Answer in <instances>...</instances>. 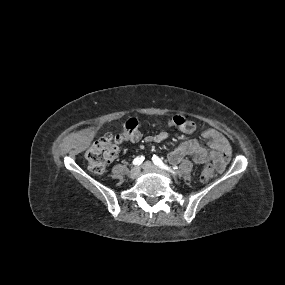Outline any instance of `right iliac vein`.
Here are the masks:
<instances>
[{
    "instance_id": "obj_1",
    "label": "right iliac vein",
    "mask_w": 285,
    "mask_h": 285,
    "mask_svg": "<svg viewBox=\"0 0 285 285\" xmlns=\"http://www.w3.org/2000/svg\"><path fill=\"white\" fill-rule=\"evenodd\" d=\"M139 172L140 168L138 166L133 167L129 172V178L135 179L136 177H138Z\"/></svg>"
}]
</instances>
